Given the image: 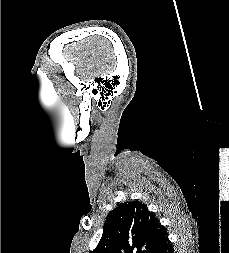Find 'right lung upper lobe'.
<instances>
[{
  "label": "right lung upper lobe",
  "instance_id": "1",
  "mask_svg": "<svg viewBox=\"0 0 229 253\" xmlns=\"http://www.w3.org/2000/svg\"><path fill=\"white\" fill-rule=\"evenodd\" d=\"M167 241L165 227L145 204L124 202L109 212L100 242L91 253H156Z\"/></svg>",
  "mask_w": 229,
  "mask_h": 253
}]
</instances>
